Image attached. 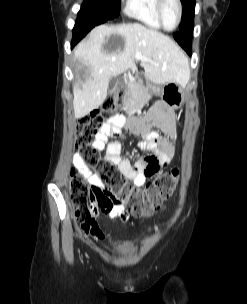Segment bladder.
I'll list each match as a JSON object with an SVG mask.
<instances>
[{
	"label": "bladder",
	"mask_w": 247,
	"mask_h": 304,
	"mask_svg": "<svg viewBox=\"0 0 247 304\" xmlns=\"http://www.w3.org/2000/svg\"><path fill=\"white\" fill-rule=\"evenodd\" d=\"M112 251L115 254H117L119 256H123V257H127V256H129L132 253L131 249L121 248V247L113 248Z\"/></svg>",
	"instance_id": "1"
}]
</instances>
